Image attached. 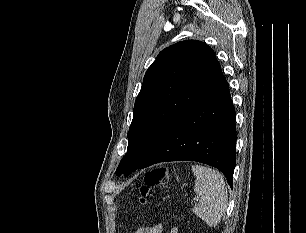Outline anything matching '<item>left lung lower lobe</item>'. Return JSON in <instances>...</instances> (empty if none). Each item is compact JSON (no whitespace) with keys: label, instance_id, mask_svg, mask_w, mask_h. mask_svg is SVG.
<instances>
[{"label":"left lung lower lobe","instance_id":"left-lung-lower-lobe-1","mask_svg":"<svg viewBox=\"0 0 306 233\" xmlns=\"http://www.w3.org/2000/svg\"><path fill=\"white\" fill-rule=\"evenodd\" d=\"M236 139L235 110L221 73L139 168L159 162L198 161L218 168L232 187Z\"/></svg>","mask_w":306,"mask_h":233}]
</instances>
